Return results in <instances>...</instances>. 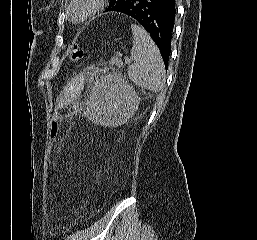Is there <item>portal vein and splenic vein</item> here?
I'll return each mask as SVG.
<instances>
[{
	"mask_svg": "<svg viewBox=\"0 0 257 240\" xmlns=\"http://www.w3.org/2000/svg\"><path fill=\"white\" fill-rule=\"evenodd\" d=\"M129 62H130V60L126 58V63H129Z\"/></svg>",
	"mask_w": 257,
	"mask_h": 240,
	"instance_id": "obj_1",
	"label": "portal vein and splenic vein"
}]
</instances>
